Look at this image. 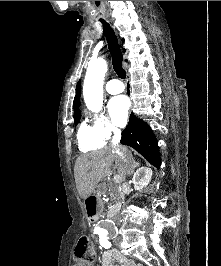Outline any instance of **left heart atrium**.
Instances as JSON below:
<instances>
[{
  "label": "left heart atrium",
  "mask_w": 221,
  "mask_h": 266,
  "mask_svg": "<svg viewBox=\"0 0 221 266\" xmlns=\"http://www.w3.org/2000/svg\"><path fill=\"white\" fill-rule=\"evenodd\" d=\"M129 103L125 96H116L108 104V110L115 124L123 126L126 123Z\"/></svg>",
  "instance_id": "1"
}]
</instances>
